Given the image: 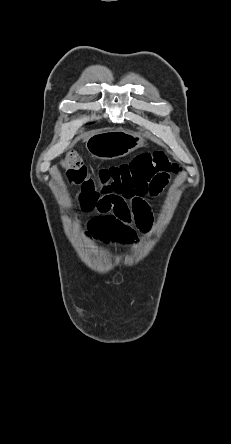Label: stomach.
Masks as SVG:
<instances>
[{
	"label": "stomach",
	"instance_id": "obj_1",
	"mask_svg": "<svg viewBox=\"0 0 231 444\" xmlns=\"http://www.w3.org/2000/svg\"><path fill=\"white\" fill-rule=\"evenodd\" d=\"M144 138L130 131H105L88 139L86 147L93 157L115 159L143 146Z\"/></svg>",
	"mask_w": 231,
	"mask_h": 444
}]
</instances>
